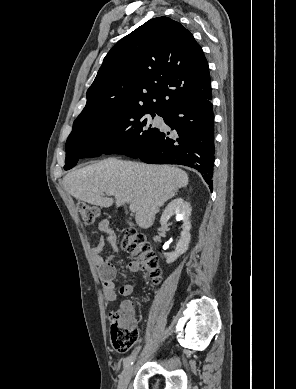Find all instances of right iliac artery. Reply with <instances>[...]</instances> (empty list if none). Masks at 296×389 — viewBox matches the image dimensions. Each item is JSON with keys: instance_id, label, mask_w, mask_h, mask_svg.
<instances>
[{"instance_id": "82829eb1", "label": "right iliac artery", "mask_w": 296, "mask_h": 389, "mask_svg": "<svg viewBox=\"0 0 296 389\" xmlns=\"http://www.w3.org/2000/svg\"><path fill=\"white\" fill-rule=\"evenodd\" d=\"M137 351H134L129 357L124 359V368L127 369L130 365L133 364Z\"/></svg>"}]
</instances>
